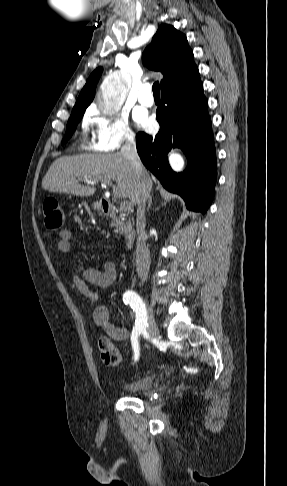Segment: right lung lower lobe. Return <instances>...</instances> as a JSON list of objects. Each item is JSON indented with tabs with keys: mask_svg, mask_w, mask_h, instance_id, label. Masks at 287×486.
I'll list each match as a JSON object with an SVG mask.
<instances>
[{
	"mask_svg": "<svg viewBox=\"0 0 287 486\" xmlns=\"http://www.w3.org/2000/svg\"><path fill=\"white\" fill-rule=\"evenodd\" d=\"M157 121L161 129L151 136L139 132L137 151L143 164L168 191L179 194L190 210L205 213L214 197L216 154L208 103L200 77L161 93ZM180 148L188 165L173 172L167 153Z\"/></svg>",
	"mask_w": 287,
	"mask_h": 486,
	"instance_id": "98d812e1",
	"label": "right lung lower lobe"
}]
</instances>
